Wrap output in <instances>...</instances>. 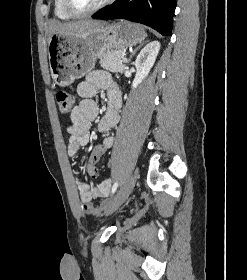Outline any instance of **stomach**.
<instances>
[{
	"label": "stomach",
	"instance_id": "obj_1",
	"mask_svg": "<svg viewBox=\"0 0 247 280\" xmlns=\"http://www.w3.org/2000/svg\"><path fill=\"white\" fill-rule=\"evenodd\" d=\"M145 38L143 27L124 20L82 35L52 34L48 41L52 79L62 87L68 86L88 73L106 53L135 46Z\"/></svg>",
	"mask_w": 247,
	"mask_h": 280
}]
</instances>
